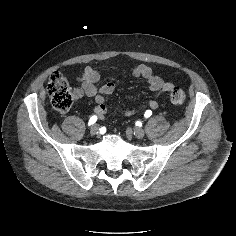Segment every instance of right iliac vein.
Returning <instances> with one entry per match:
<instances>
[{
    "label": "right iliac vein",
    "instance_id": "63e3f726",
    "mask_svg": "<svg viewBox=\"0 0 236 236\" xmlns=\"http://www.w3.org/2000/svg\"><path fill=\"white\" fill-rule=\"evenodd\" d=\"M99 132V127L97 125H93L90 129V134L91 135H96Z\"/></svg>",
    "mask_w": 236,
    "mask_h": 236
}]
</instances>
